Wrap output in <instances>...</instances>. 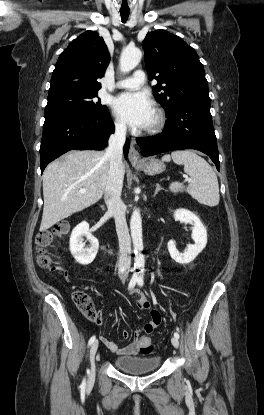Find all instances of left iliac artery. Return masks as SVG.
Here are the masks:
<instances>
[{
    "instance_id": "obj_1",
    "label": "left iliac artery",
    "mask_w": 264,
    "mask_h": 415,
    "mask_svg": "<svg viewBox=\"0 0 264 415\" xmlns=\"http://www.w3.org/2000/svg\"><path fill=\"white\" fill-rule=\"evenodd\" d=\"M137 282H138V285H139L140 287H142V286H143L144 281H143V278H142V277H138ZM174 336H175L176 338H179V337H180L178 332H175V333H174Z\"/></svg>"
}]
</instances>
